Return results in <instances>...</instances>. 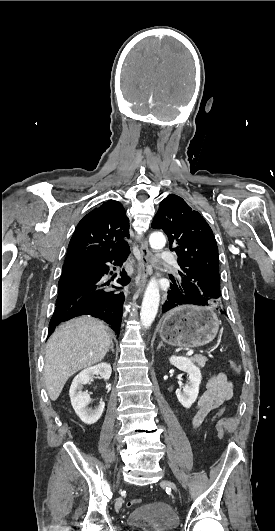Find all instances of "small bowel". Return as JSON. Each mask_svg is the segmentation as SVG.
Returning <instances> with one entry per match:
<instances>
[{
    "mask_svg": "<svg viewBox=\"0 0 275 531\" xmlns=\"http://www.w3.org/2000/svg\"><path fill=\"white\" fill-rule=\"evenodd\" d=\"M233 396L234 384L225 372L211 375L197 400L191 420L192 428L197 430L211 411L219 408L224 402L232 399Z\"/></svg>",
    "mask_w": 275,
    "mask_h": 531,
    "instance_id": "1",
    "label": "small bowel"
}]
</instances>
